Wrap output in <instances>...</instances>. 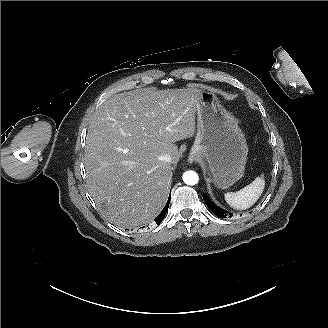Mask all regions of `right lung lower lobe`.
Listing matches in <instances>:
<instances>
[{
  "label": "right lung lower lobe",
  "instance_id": "1",
  "mask_svg": "<svg viewBox=\"0 0 328 328\" xmlns=\"http://www.w3.org/2000/svg\"><path fill=\"white\" fill-rule=\"evenodd\" d=\"M170 196H171V194H170ZM170 196H169L168 201H167L164 209L162 210V212L155 218V222L157 225H159L161 223V221L163 220V218L166 215V212L168 211V207H169V203H170Z\"/></svg>",
  "mask_w": 328,
  "mask_h": 328
}]
</instances>
